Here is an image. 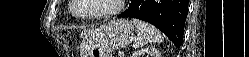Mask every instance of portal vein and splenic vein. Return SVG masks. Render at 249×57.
<instances>
[{"label":"portal vein and splenic vein","mask_w":249,"mask_h":57,"mask_svg":"<svg viewBox=\"0 0 249 57\" xmlns=\"http://www.w3.org/2000/svg\"><path fill=\"white\" fill-rule=\"evenodd\" d=\"M120 57H124V54L121 53V54H120Z\"/></svg>","instance_id":"1"}]
</instances>
